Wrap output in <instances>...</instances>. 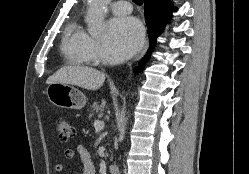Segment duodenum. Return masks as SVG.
<instances>
[{"label": "duodenum", "mask_w": 249, "mask_h": 174, "mask_svg": "<svg viewBox=\"0 0 249 174\" xmlns=\"http://www.w3.org/2000/svg\"><path fill=\"white\" fill-rule=\"evenodd\" d=\"M108 171L110 174H120V169L117 164H111L108 166Z\"/></svg>", "instance_id": "1"}]
</instances>
